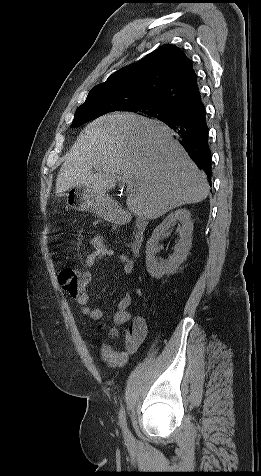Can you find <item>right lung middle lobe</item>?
I'll use <instances>...</instances> for the list:
<instances>
[{"label":"right lung middle lobe","mask_w":261,"mask_h":476,"mask_svg":"<svg viewBox=\"0 0 261 476\" xmlns=\"http://www.w3.org/2000/svg\"><path fill=\"white\" fill-rule=\"evenodd\" d=\"M114 111H122L121 106L117 103H111L107 101L91 102L81 105L76 110L71 127H77L103 114ZM181 111L182 109H178L172 106L157 104L143 106L135 112L141 115L156 118L160 121H164L165 119H172L173 117L180 114Z\"/></svg>","instance_id":"obj_1"}]
</instances>
